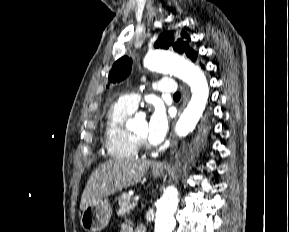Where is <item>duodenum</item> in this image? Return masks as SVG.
<instances>
[{
    "label": "duodenum",
    "mask_w": 289,
    "mask_h": 232,
    "mask_svg": "<svg viewBox=\"0 0 289 232\" xmlns=\"http://www.w3.org/2000/svg\"><path fill=\"white\" fill-rule=\"evenodd\" d=\"M136 232H146V229L143 226H138Z\"/></svg>",
    "instance_id": "1"
}]
</instances>
